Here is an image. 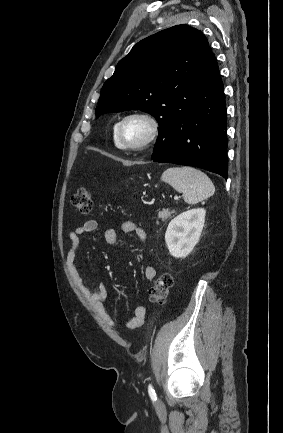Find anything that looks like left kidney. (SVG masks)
Returning a JSON list of instances; mask_svg holds the SVG:
<instances>
[{
  "instance_id": "left-kidney-1",
  "label": "left kidney",
  "mask_w": 283,
  "mask_h": 433,
  "mask_svg": "<svg viewBox=\"0 0 283 433\" xmlns=\"http://www.w3.org/2000/svg\"><path fill=\"white\" fill-rule=\"evenodd\" d=\"M205 214L204 208L191 209L171 220L165 241L173 257L184 258L191 253L202 233Z\"/></svg>"
}]
</instances>
